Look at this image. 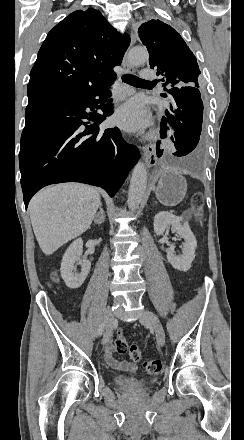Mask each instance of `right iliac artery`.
I'll use <instances>...</instances> for the list:
<instances>
[{"label": "right iliac artery", "mask_w": 244, "mask_h": 440, "mask_svg": "<svg viewBox=\"0 0 244 440\" xmlns=\"http://www.w3.org/2000/svg\"><path fill=\"white\" fill-rule=\"evenodd\" d=\"M105 327V322H102L98 331V335L101 336Z\"/></svg>", "instance_id": "right-iliac-artery-1"}]
</instances>
